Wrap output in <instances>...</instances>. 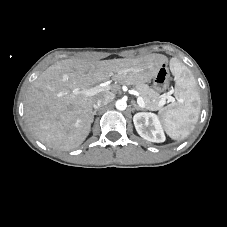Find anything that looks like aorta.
Returning <instances> with one entry per match:
<instances>
[{
	"label": "aorta",
	"mask_w": 227,
	"mask_h": 227,
	"mask_svg": "<svg viewBox=\"0 0 227 227\" xmlns=\"http://www.w3.org/2000/svg\"><path fill=\"white\" fill-rule=\"evenodd\" d=\"M115 106L118 110L123 111L127 108V103L126 101L120 99L116 101Z\"/></svg>",
	"instance_id": "aorta-1"
}]
</instances>
